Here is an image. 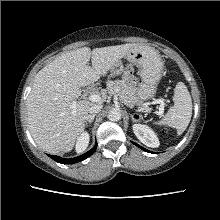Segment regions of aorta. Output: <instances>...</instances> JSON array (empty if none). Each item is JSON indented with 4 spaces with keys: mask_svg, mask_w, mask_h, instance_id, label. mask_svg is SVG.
Listing matches in <instances>:
<instances>
[{
    "mask_svg": "<svg viewBox=\"0 0 220 220\" xmlns=\"http://www.w3.org/2000/svg\"><path fill=\"white\" fill-rule=\"evenodd\" d=\"M107 117L110 121H119L121 119V112L117 109H113L108 113Z\"/></svg>",
    "mask_w": 220,
    "mask_h": 220,
    "instance_id": "762f6f07",
    "label": "aorta"
}]
</instances>
